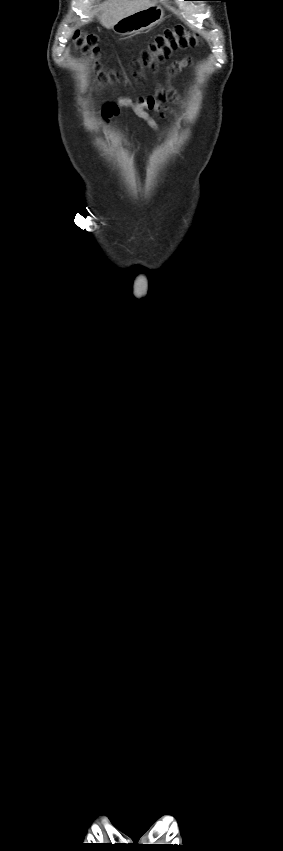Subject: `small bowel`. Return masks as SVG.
<instances>
[{"instance_id":"1","label":"small bowel","mask_w":283,"mask_h":851,"mask_svg":"<svg viewBox=\"0 0 283 851\" xmlns=\"http://www.w3.org/2000/svg\"><path fill=\"white\" fill-rule=\"evenodd\" d=\"M185 64L186 62L173 64L171 67V74L177 72V70L182 68ZM169 99H177L175 91L170 87L168 89H159L156 96L142 97L137 101H133L129 98H121L116 104H107L103 108V120L107 123L112 116L118 113L119 108H130L135 115L145 121L150 128L158 131L159 127L157 122L150 116L147 110L157 111L163 117L166 114V109L164 108L163 103Z\"/></svg>"}]
</instances>
